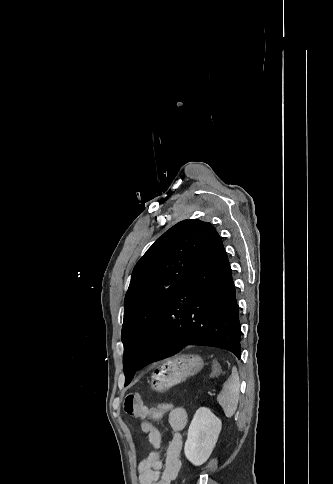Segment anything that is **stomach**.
Segmentation results:
<instances>
[{
    "label": "stomach",
    "mask_w": 333,
    "mask_h": 484,
    "mask_svg": "<svg viewBox=\"0 0 333 484\" xmlns=\"http://www.w3.org/2000/svg\"><path fill=\"white\" fill-rule=\"evenodd\" d=\"M202 367L203 360L197 354L174 356L156 366L151 376V387L158 393H163L197 374Z\"/></svg>",
    "instance_id": "stomach-1"
}]
</instances>
